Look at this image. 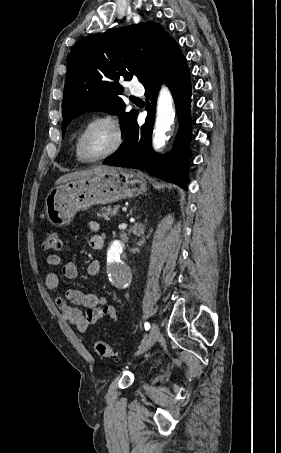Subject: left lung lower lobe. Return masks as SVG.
<instances>
[{"label":"left lung lower lobe","instance_id":"1","mask_svg":"<svg viewBox=\"0 0 281 453\" xmlns=\"http://www.w3.org/2000/svg\"><path fill=\"white\" fill-rule=\"evenodd\" d=\"M169 86L180 120V129L173 152L168 156L156 154L151 148L156 99L161 83ZM147 97L146 122L139 127L134 123L119 150L103 164L145 170L150 175L186 188L190 139L191 83L186 59L172 39L156 68L142 82ZM149 100L151 102H149Z\"/></svg>","mask_w":281,"mask_h":453}]
</instances>
